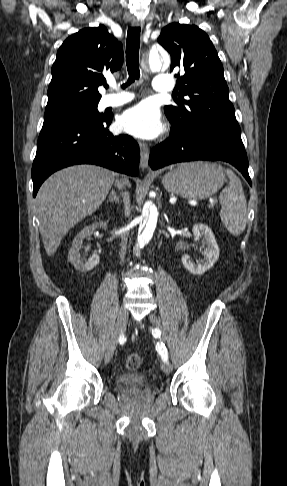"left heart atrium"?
<instances>
[{"mask_svg": "<svg viewBox=\"0 0 287 486\" xmlns=\"http://www.w3.org/2000/svg\"><path fill=\"white\" fill-rule=\"evenodd\" d=\"M120 124L125 131L141 138H154L162 131L158 110L149 103H141L128 109Z\"/></svg>", "mask_w": 287, "mask_h": 486, "instance_id": "39dd6f15", "label": "left heart atrium"}]
</instances>
